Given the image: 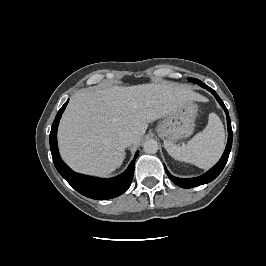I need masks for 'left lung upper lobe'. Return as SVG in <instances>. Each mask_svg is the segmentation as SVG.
Masks as SVG:
<instances>
[{"mask_svg": "<svg viewBox=\"0 0 266 266\" xmlns=\"http://www.w3.org/2000/svg\"><path fill=\"white\" fill-rule=\"evenodd\" d=\"M189 80H190V81H193V82H195V81H196V79H193V78H190Z\"/></svg>", "mask_w": 266, "mask_h": 266, "instance_id": "5c2ea615", "label": "left lung upper lobe"}]
</instances>
